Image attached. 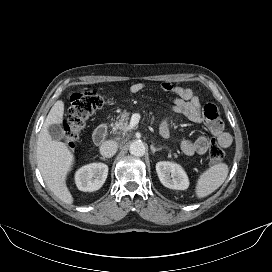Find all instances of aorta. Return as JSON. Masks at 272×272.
Masks as SVG:
<instances>
[{"instance_id":"aorta-1","label":"aorta","mask_w":272,"mask_h":272,"mask_svg":"<svg viewBox=\"0 0 272 272\" xmlns=\"http://www.w3.org/2000/svg\"><path fill=\"white\" fill-rule=\"evenodd\" d=\"M129 152L133 156L141 157L145 154V146L140 141H134L130 144Z\"/></svg>"}]
</instances>
